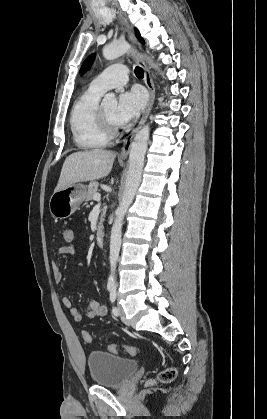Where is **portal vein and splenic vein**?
I'll list each match as a JSON object with an SVG mask.
<instances>
[{
	"label": "portal vein and splenic vein",
	"mask_w": 267,
	"mask_h": 419,
	"mask_svg": "<svg viewBox=\"0 0 267 419\" xmlns=\"http://www.w3.org/2000/svg\"><path fill=\"white\" fill-rule=\"evenodd\" d=\"M94 200H95V201L100 202V200H101V195H100L99 193H96V194L94 195Z\"/></svg>",
	"instance_id": "18ae733b"
}]
</instances>
